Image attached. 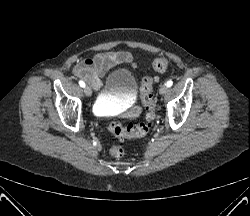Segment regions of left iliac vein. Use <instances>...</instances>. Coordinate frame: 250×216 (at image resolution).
<instances>
[{
    "mask_svg": "<svg viewBox=\"0 0 250 216\" xmlns=\"http://www.w3.org/2000/svg\"><path fill=\"white\" fill-rule=\"evenodd\" d=\"M167 91H168V87H167L166 85H162V86L160 87V89H159V93H160L161 95L166 94Z\"/></svg>",
    "mask_w": 250,
    "mask_h": 216,
    "instance_id": "obj_1",
    "label": "left iliac vein"
}]
</instances>
